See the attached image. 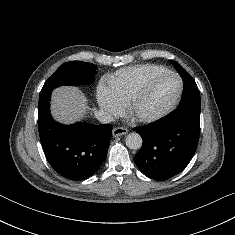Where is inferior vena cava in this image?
Wrapping results in <instances>:
<instances>
[{
  "label": "inferior vena cava",
  "instance_id": "inferior-vena-cava-1",
  "mask_svg": "<svg viewBox=\"0 0 235 235\" xmlns=\"http://www.w3.org/2000/svg\"><path fill=\"white\" fill-rule=\"evenodd\" d=\"M95 116L101 123L104 124L110 123L114 120L111 113L104 110H99L98 112L95 113Z\"/></svg>",
  "mask_w": 235,
  "mask_h": 235
}]
</instances>
